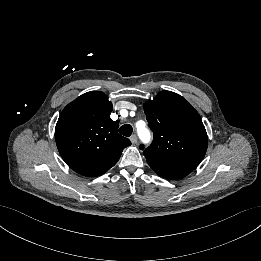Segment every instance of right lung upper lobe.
<instances>
[{"instance_id": "1", "label": "right lung upper lobe", "mask_w": 261, "mask_h": 261, "mask_svg": "<svg viewBox=\"0 0 261 261\" xmlns=\"http://www.w3.org/2000/svg\"><path fill=\"white\" fill-rule=\"evenodd\" d=\"M112 103L100 91L87 92L62 111L55 128V140L63 160L75 172L95 177L119 160L131 142L117 130L110 118Z\"/></svg>"}]
</instances>
